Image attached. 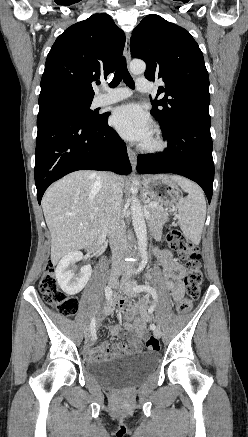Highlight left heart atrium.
Instances as JSON below:
<instances>
[{
	"label": "left heart atrium",
	"mask_w": 248,
	"mask_h": 437,
	"mask_svg": "<svg viewBox=\"0 0 248 437\" xmlns=\"http://www.w3.org/2000/svg\"><path fill=\"white\" fill-rule=\"evenodd\" d=\"M111 123L124 138L145 142L152 135V125L148 115L137 104L118 107L111 118Z\"/></svg>",
	"instance_id": "left-heart-atrium-1"
}]
</instances>
